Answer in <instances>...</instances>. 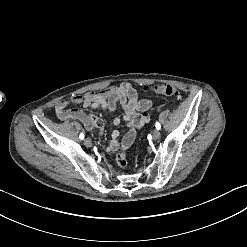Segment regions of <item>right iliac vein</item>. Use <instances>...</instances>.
<instances>
[{"label": "right iliac vein", "instance_id": "right-iliac-vein-1", "mask_svg": "<svg viewBox=\"0 0 247 247\" xmlns=\"http://www.w3.org/2000/svg\"><path fill=\"white\" fill-rule=\"evenodd\" d=\"M84 144H85L86 147H90L92 145L91 139L90 138H86L84 140Z\"/></svg>", "mask_w": 247, "mask_h": 247}]
</instances>
